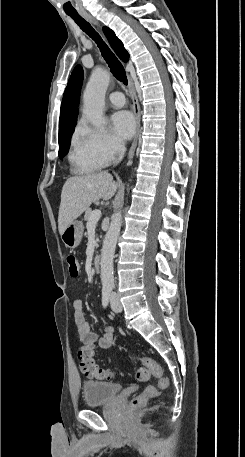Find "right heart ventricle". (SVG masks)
<instances>
[{
  "label": "right heart ventricle",
  "mask_w": 245,
  "mask_h": 457,
  "mask_svg": "<svg viewBox=\"0 0 245 457\" xmlns=\"http://www.w3.org/2000/svg\"><path fill=\"white\" fill-rule=\"evenodd\" d=\"M72 154L87 169L96 170L104 165L90 153L84 144L82 128L80 127L75 129L72 137Z\"/></svg>",
  "instance_id": "1"
}]
</instances>
